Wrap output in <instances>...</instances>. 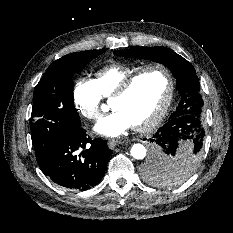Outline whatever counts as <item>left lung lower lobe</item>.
<instances>
[{
  "label": "left lung lower lobe",
  "mask_w": 233,
  "mask_h": 233,
  "mask_svg": "<svg viewBox=\"0 0 233 233\" xmlns=\"http://www.w3.org/2000/svg\"><path fill=\"white\" fill-rule=\"evenodd\" d=\"M204 136L205 131L199 119L166 121L150 139L153 149L144 175H157L156 182H176L174 177L164 174L161 164L166 160H179L189 156L198 159L202 153Z\"/></svg>",
  "instance_id": "obj_1"
}]
</instances>
